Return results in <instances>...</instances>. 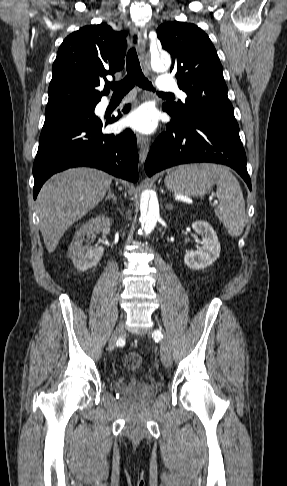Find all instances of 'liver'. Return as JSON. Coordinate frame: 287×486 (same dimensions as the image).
<instances>
[{"instance_id": "liver-1", "label": "liver", "mask_w": 287, "mask_h": 486, "mask_svg": "<svg viewBox=\"0 0 287 486\" xmlns=\"http://www.w3.org/2000/svg\"><path fill=\"white\" fill-rule=\"evenodd\" d=\"M112 177L93 168H72L54 175L41 188L36 203L40 231L52 253L63 234L104 198Z\"/></svg>"}]
</instances>
